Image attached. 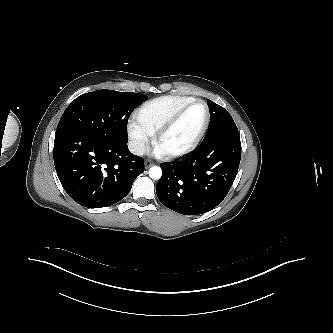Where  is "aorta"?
Masks as SVG:
<instances>
[{"label": "aorta", "mask_w": 333, "mask_h": 333, "mask_svg": "<svg viewBox=\"0 0 333 333\" xmlns=\"http://www.w3.org/2000/svg\"><path fill=\"white\" fill-rule=\"evenodd\" d=\"M149 176L151 179L158 180L162 176V170L158 166H153L149 169Z\"/></svg>", "instance_id": "aorta-1"}]
</instances>
